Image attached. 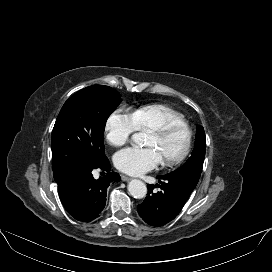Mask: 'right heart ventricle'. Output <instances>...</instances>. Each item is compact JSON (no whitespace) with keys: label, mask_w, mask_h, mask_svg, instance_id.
Listing matches in <instances>:
<instances>
[{"label":"right heart ventricle","mask_w":272,"mask_h":272,"mask_svg":"<svg viewBox=\"0 0 272 272\" xmlns=\"http://www.w3.org/2000/svg\"><path fill=\"white\" fill-rule=\"evenodd\" d=\"M131 113L139 131H151L169 123H186L180 112L158 103L138 107Z\"/></svg>","instance_id":"e07e8e85"}]
</instances>
